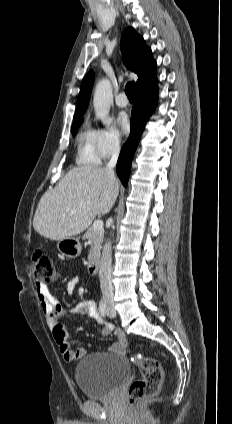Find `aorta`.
Wrapping results in <instances>:
<instances>
[{"label": "aorta", "mask_w": 232, "mask_h": 424, "mask_svg": "<svg viewBox=\"0 0 232 424\" xmlns=\"http://www.w3.org/2000/svg\"><path fill=\"white\" fill-rule=\"evenodd\" d=\"M112 99L111 83L108 79H102L96 85L93 104L96 118L100 119L106 125L110 124L109 111Z\"/></svg>", "instance_id": "aorta-1"}]
</instances>
